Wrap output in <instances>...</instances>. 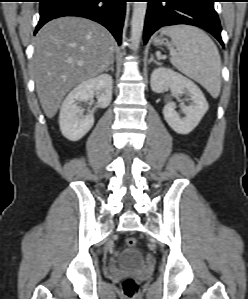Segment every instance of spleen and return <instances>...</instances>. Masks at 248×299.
Here are the masks:
<instances>
[{"instance_id": "1", "label": "spleen", "mask_w": 248, "mask_h": 299, "mask_svg": "<svg viewBox=\"0 0 248 299\" xmlns=\"http://www.w3.org/2000/svg\"><path fill=\"white\" fill-rule=\"evenodd\" d=\"M161 34L171 37L169 47H176L170 58L172 65L217 98L221 90V58L211 38L190 25L165 27Z\"/></svg>"}]
</instances>
